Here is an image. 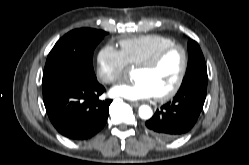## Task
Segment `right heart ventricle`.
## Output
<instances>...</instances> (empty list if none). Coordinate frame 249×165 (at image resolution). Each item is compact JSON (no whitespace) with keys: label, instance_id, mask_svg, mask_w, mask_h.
I'll use <instances>...</instances> for the list:
<instances>
[{"label":"right heart ventricle","instance_id":"1","mask_svg":"<svg viewBox=\"0 0 249 165\" xmlns=\"http://www.w3.org/2000/svg\"><path fill=\"white\" fill-rule=\"evenodd\" d=\"M174 41L160 34H147L120 41L121 53L130 66H137L151 59L161 49Z\"/></svg>","mask_w":249,"mask_h":165}]
</instances>
